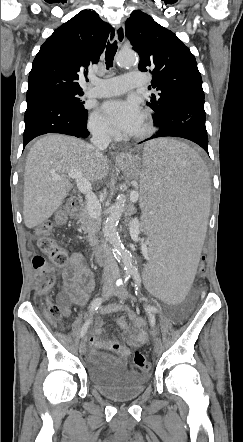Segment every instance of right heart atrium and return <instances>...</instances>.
Masks as SVG:
<instances>
[{"instance_id":"1","label":"right heart atrium","mask_w":243,"mask_h":442,"mask_svg":"<svg viewBox=\"0 0 243 442\" xmlns=\"http://www.w3.org/2000/svg\"><path fill=\"white\" fill-rule=\"evenodd\" d=\"M88 128L92 134L98 137L110 139L115 136L114 130L98 112H93L90 115Z\"/></svg>"}]
</instances>
